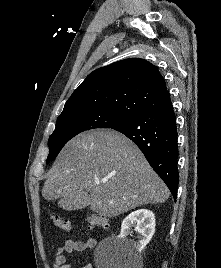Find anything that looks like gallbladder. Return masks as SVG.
Segmentation results:
<instances>
[{
	"label": "gallbladder",
	"mask_w": 221,
	"mask_h": 268,
	"mask_svg": "<svg viewBox=\"0 0 221 268\" xmlns=\"http://www.w3.org/2000/svg\"><path fill=\"white\" fill-rule=\"evenodd\" d=\"M86 199H62V202H58V207H65L67 211H77L86 208Z\"/></svg>",
	"instance_id": "obj_1"
}]
</instances>
